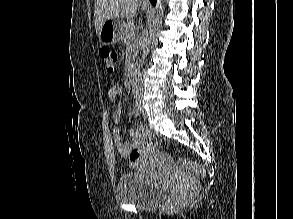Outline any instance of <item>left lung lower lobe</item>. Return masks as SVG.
<instances>
[{
    "label": "left lung lower lobe",
    "instance_id": "0a47b994",
    "mask_svg": "<svg viewBox=\"0 0 293 219\" xmlns=\"http://www.w3.org/2000/svg\"><path fill=\"white\" fill-rule=\"evenodd\" d=\"M150 2L155 6L156 0H150Z\"/></svg>",
    "mask_w": 293,
    "mask_h": 219
}]
</instances>
